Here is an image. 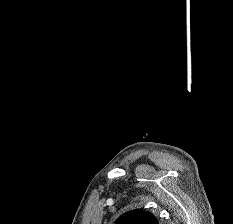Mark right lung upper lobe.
Returning <instances> with one entry per match:
<instances>
[{
    "instance_id": "obj_1",
    "label": "right lung upper lobe",
    "mask_w": 233,
    "mask_h": 224,
    "mask_svg": "<svg viewBox=\"0 0 233 224\" xmlns=\"http://www.w3.org/2000/svg\"><path fill=\"white\" fill-rule=\"evenodd\" d=\"M115 224H159V222L152 213L137 209L121 215Z\"/></svg>"
}]
</instances>
